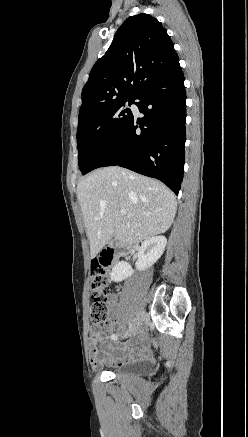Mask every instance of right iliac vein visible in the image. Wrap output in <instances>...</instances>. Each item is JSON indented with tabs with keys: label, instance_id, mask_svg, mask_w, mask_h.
Segmentation results:
<instances>
[{
	"label": "right iliac vein",
	"instance_id": "right-iliac-vein-1",
	"mask_svg": "<svg viewBox=\"0 0 248 437\" xmlns=\"http://www.w3.org/2000/svg\"><path fill=\"white\" fill-rule=\"evenodd\" d=\"M143 320H144V312L140 311L131 327L132 333L136 332L141 327Z\"/></svg>",
	"mask_w": 248,
	"mask_h": 437
}]
</instances>
